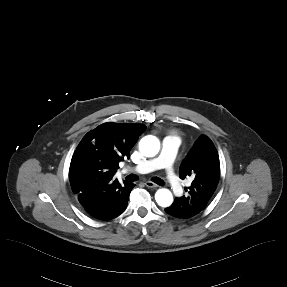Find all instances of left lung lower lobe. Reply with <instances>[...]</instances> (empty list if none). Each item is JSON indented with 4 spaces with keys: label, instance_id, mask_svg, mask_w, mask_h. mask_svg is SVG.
<instances>
[{
    "label": "left lung lower lobe",
    "instance_id": "0a47b994",
    "mask_svg": "<svg viewBox=\"0 0 287 287\" xmlns=\"http://www.w3.org/2000/svg\"><path fill=\"white\" fill-rule=\"evenodd\" d=\"M202 210L185 205L181 198H175L170 207L165 208V212L177 218H189L199 214Z\"/></svg>",
    "mask_w": 287,
    "mask_h": 287
}]
</instances>
